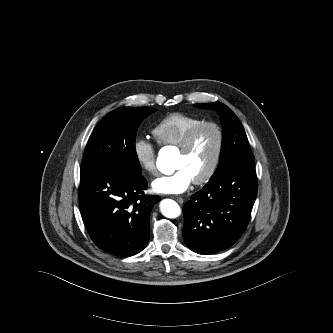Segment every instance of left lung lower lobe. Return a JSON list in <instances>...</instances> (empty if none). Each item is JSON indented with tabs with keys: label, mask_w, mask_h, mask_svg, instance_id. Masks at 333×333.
Returning a JSON list of instances; mask_svg holds the SVG:
<instances>
[{
	"label": "left lung lower lobe",
	"mask_w": 333,
	"mask_h": 333,
	"mask_svg": "<svg viewBox=\"0 0 333 333\" xmlns=\"http://www.w3.org/2000/svg\"><path fill=\"white\" fill-rule=\"evenodd\" d=\"M257 195L253 162L226 168L184 205L187 246L208 255L233 245L245 231Z\"/></svg>",
	"instance_id": "1"
}]
</instances>
